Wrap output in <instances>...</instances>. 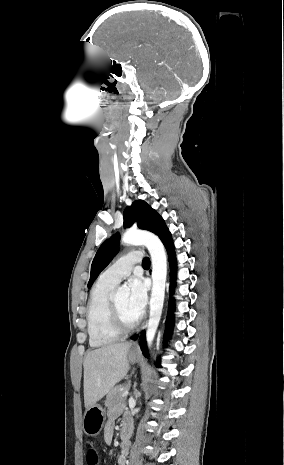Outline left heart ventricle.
Returning a JSON list of instances; mask_svg holds the SVG:
<instances>
[{
	"instance_id": "obj_1",
	"label": "left heart ventricle",
	"mask_w": 284,
	"mask_h": 465,
	"mask_svg": "<svg viewBox=\"0 0 284 465\" xmlns=\"http://www.w3.org/2000/svg\"><path fill=\"white\" fill-rule=\"evenodd\" d=\"M118 306V309L123 317L124 325H132L138 317H136L128 307V297L126 295L120 296L114 300Z\"/></svg>"
}]
</instances>
